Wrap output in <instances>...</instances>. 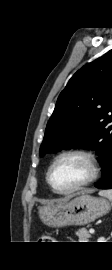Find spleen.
I'll list each match as a JSON object with an SVG mask.
<instances>
[{
    "label": "spleen",
    "mask_w": 112,
    "mask_h": 270,
    "mask_svg": "<svg viewBox=\"0 0 112 270\" xmlns=\"http://www.w3.org/2000/svg\"><path fill=\"white\" fill-rule=\"evenodd\" d=\"M99 195L108 198L112 202V189L111 190H101Z\"/></svg>",
    "instance_id": "3e777b00"
}]
</instances>
